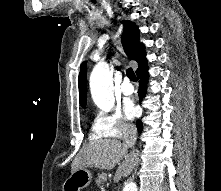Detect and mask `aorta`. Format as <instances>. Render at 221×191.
<instances>
[{
	"label": "aorta",
	"instance_id": "aorta-1",
	"mask_svg": "<svg viewBox=\"0 0 221 191\" xmlns=\"http://www.w3.org/2000/svg\"><path fill=\"white\" fill-rule=\"evenodd\" d=\"M90 90L93 101L101 110L110 111L115 102L113 85L109 67L105 62H99L90 76ZM123 191H138L134 182L127 183Z\"/></svg>",
	"mask_w": 221,
	"mask_h": 191
}]
</instances>
